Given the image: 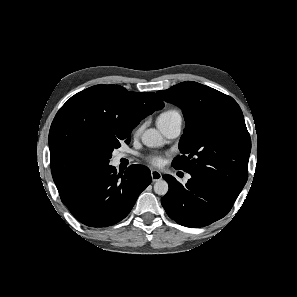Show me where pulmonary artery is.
I'll return each mask as SVG.
<instances>
[{
  "label": "pulmonary artery",
  "instance_id": "e3ab8cb5",
  "mask_svg": "<svg viewBox=\"0 0 297 297\" xmlns=\"http://www.w3.org/2000/svg\"><path fill=\"white\" fill-rule=\"evenodd\" d=\"M159 128L162 133L169 139H173L179 136L182 129V118H177L168 122H160ZM124 155H121L123 157ZM190 177L188 176L187 179Z\"/></svg>",
  "mask_w": 297,
  "mask_h": 297
}]
</instances>
